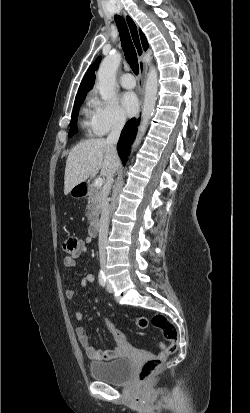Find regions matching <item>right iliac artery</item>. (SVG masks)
Here are the masks:
<instances>
[{
    "instance_id": "right-iliac-artery-1",
    "label": "right iliac artery",
    "mask_w": 250,
    "mask_h": 413,
    "mask_svg": "<svg viewBox=\"0 0 250 413\" xmlns=\"http://www.w3.org/2000/svg\"><path fill=\"white\" fill-rule=\"evenodd\" d=\"M98 280H99V284L102 287L106 286V277H105L104 272L102 270L99 272Z\"/></svg>"
}]
</instances>
